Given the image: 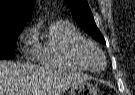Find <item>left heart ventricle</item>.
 Wrapping results in <instances>:
<instances>
[{"label": "left heart ventricle", "instance_id": "1", "mask_svg": "<svg viewBox=\"0 0 135 95\" xmlns=\"http://www.w3.org/2000/svg\"><path fill=\"white\" fill-rule=\"evenodd\" d=\"M87 61H88V64L94 69L101 68L103 64L100 55L94 51H90L87 53Z\"/></svg>", "mask_w": 135, "mask_h": 95}]
</instances>
